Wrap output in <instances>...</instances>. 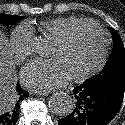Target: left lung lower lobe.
<instances>
[{
    "label": "left lung lower lobe",
    "instance_id": "1",
    "mask_svg": "<svg viewBox=\"0 0 125 125\" xmlns=\"http://www.w3.org/2000/svg\"><path fill=\"white\" fill-rule=\"evenodd\" d=\"M125 91V75L91 84L85 82L73 90L75 109L59 125H106L118 113Z\"/></svg>",
    "mask_w": 125,
    "mask_h": 125
}]
</instances>
